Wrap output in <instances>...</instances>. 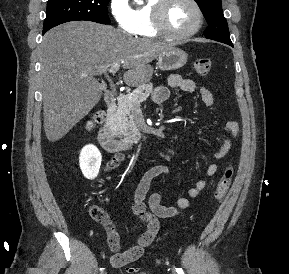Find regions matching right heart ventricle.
<instances>
[{"label": "right heart ventricle", "instance_id": "obj_1", "mask_svg": "<svg viewBox=\"0 0 289 274\" xmlns=\"http://www.w3.org/2000/svg\"><path fill=\"white\" fill-rule=\"evenodd\" d=\"M158 0H146L145 4L133 10L134 27L132 34L139 37H157L159 33L153 26L152 12Z\"/></svg>", "mask_w": 289, "mask_h": 274}]
</instances>
